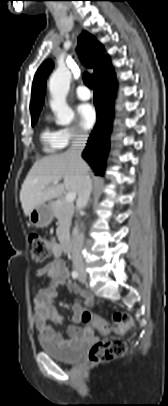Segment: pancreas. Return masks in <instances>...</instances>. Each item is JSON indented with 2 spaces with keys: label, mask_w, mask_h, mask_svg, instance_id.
<instances>
[{
  "label": "pancreas",
  "mask_w": 168,
  "mask_h": 406,
  "mask_svg": "<svg viewBox=\"0 0 168 406\" xmlns=\"http://www.w3.org/2000/svg\"><path fill=\"white\" fill-rule=\"evenodd\" d=\"M53 213L59 222L56 234L59 240H63L69 234L74 206L61 198L53 203Z\"/></svg>",
  "instance_id": "obj_1"
}]
</instances>
